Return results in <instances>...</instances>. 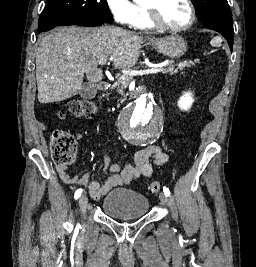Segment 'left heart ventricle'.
<instances>
[{
	"label": "left heart ventricle",
	"mask_w": 256,
	"mask_h": 267,
	"mask_svg": "<svg viewBox=\"0 0 256 267\" xmlns=\"http://www.w3.org/2000/svg\"><path fill=\"white\" fill-rule=\"evenodd\" d=\"M156 21L163 25L181 27L190 18V11L187 5L181 0H166L158 3L154 10ZM153 22L143 20V30H149Z\"/></svg>",
	"instance_id": "1"
}]
</instances>
